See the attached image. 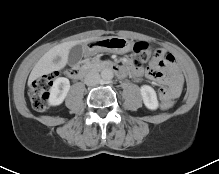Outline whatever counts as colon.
Listing matches in <instances>:
<instances>
[{
    "mask_svg": "<svg viewBox=\"0 0 219 174\" xmlns=\"http://www.w3.org/2000/svg\"><path fill=\"white\" fill-rule=\"evenodd\" d=\"M134 65L141 67L142 65L148 63L154 56V51L146 42H137L134 45ZM58 74L52 72L41 76L33 80L30 84L29 98L32 107L36 111H44L47 108V101L49 97V88L53 84L54 80L57 78ZM173 106L171 100H161L160 107L163 110H169Z\"/></svg>",
    "mask_w": 219,
    "mask_h": 174,
    "instance_id": "colon-1",
    "label": "colon"
}]
</instances>
